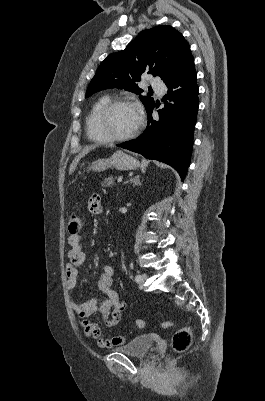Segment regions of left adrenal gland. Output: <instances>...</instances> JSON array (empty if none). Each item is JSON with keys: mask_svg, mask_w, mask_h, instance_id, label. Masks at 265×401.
<instances>
[{"mask_svg": "<svg viewBox=\"0 0 265 401\" xmlns=\"http://www.w3.org/2000/svg\"><path fill=\"white\" fill-rule=\"evenodd\" d=\"M127 182H133V186H136V184H141L140 174H136L134 178H130V180H127Z\"/></svg>", "mask_w": 265, "mask_h": 401, "instance_id": "a2214340", "label": "left adrenal gland"}]
</instances>
